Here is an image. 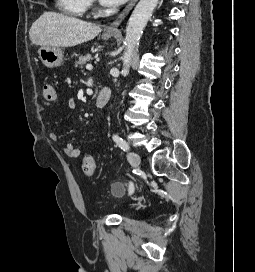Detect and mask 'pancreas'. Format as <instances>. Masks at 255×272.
<instances>
[{"mask_svg": "<svg viewBox=\"0 0 255 272\" xmlns=\"http://www.w3.org/2000/svg\"><path fill=\"white\" fill-rule=\"evenodd\" d=\"M92 60V56L90 54L79 57V59L75 62L76 67L82 68L84 64Z\"/></svg>", "mask_w": 255, "mask_h": 272, "instance_id": "cf45deb5", "label": "pancreas"}]
</instances>
